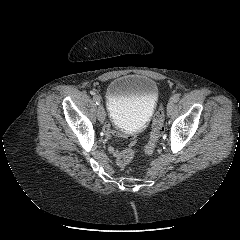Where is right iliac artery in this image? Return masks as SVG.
Wrapping results in <instances>:
<instances>
[{
	"label": "right iliac artery",
	"mask_w": 240,
	"mask_h": 240,
	"mask_svg": "<svg viewBox=\"0 0 240 240\" xmlns=\"http://www.w3.org/2000/svg\"><path fill=\"white\" fill-rule=\"evenodd\" d=\"M93 99H94V101L96 102L97 105L100 104V97L98 95H94Z\"/></svg>",
	"instance_id": "obj_1"
}]
</instances>
